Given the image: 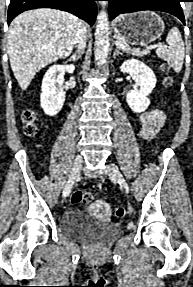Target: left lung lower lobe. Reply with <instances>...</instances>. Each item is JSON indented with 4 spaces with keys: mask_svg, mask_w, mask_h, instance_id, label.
<instances>
[{
    "mask_svg": "<svg viewBox=\"0 0 193 287\" xmlns=\"http://www.w3.org/2000/svg\"><path fill=\"white\" fill-rule=\"evenodd\" d=\"M109 15L112 20L120 13H131L142 10L163 11L179 18L185 24L180 2L182 0H107Z\"/></svg>",
    "mask_w": 193,
    "mask_h": 287,
    "instance_id": "0a47b994",
    "label": "left lung lower lobe"
}]
</instances>
